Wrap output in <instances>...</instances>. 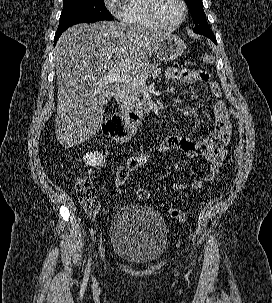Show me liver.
Here are the masks:
<instances>
[{"label":"liver","mask_w":272,"mask_h":303,"mask_svg":"<svg viewBox=\"0 0 272 303\" xmlns=\"http://www.w3.org/2000/svg\"><path fill=\"white\" fill-rule=\"evenodd\" d=\"M171 33L101 21L67 29L55 47L58 85L55 133L64 147L78 145L103 124L105 106L115 95L107 75L135 74Z\"/></svg>","instance_id":"1"}]
</instances>
